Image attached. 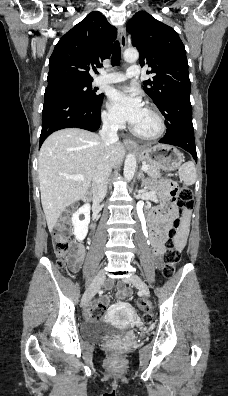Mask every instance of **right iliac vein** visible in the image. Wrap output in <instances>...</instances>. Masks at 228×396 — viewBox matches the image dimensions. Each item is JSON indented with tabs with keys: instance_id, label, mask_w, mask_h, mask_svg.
<instances>
[{
	"instance_id": "63e3f726",
	"label": "right iliac vein",
	"mask_w": 228,
	"mask_h": 396,
	"mask_svg": "<svg viewBox=\"0 0 228 396\" xmlns=\"http://www.w3.org/2000/svg\"><path fill=\"white\" fill-rule=\"evenodd\" d=\"M105 279V271L101 270L98 272V274L95 276L92 284L89 286V288L86 290L82 297V302L81 305L84 307L95 295L96 291L98 290L99 286Z\"/></svg>"
}]
</instances>
